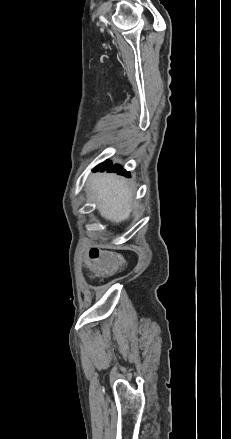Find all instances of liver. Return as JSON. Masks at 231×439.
Instances as JSON below:
<instances>
[{"instance_id": "1", "label": "liver", "mask_w": 231, "mask_h": 439, "mask_svg": "<svg viewBox=\"0 0 231 439\" xmlns=\"http://www.w3.org/2000/svg\"><path fill=\"white\" fill-rule=\"evenodd\" d=\"M89 186L100 202L103 217L116 223L129 218L133 194L125 180L115 174L96 173L90 177Z\"/></svg>"}]
</instances>
